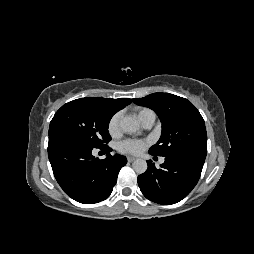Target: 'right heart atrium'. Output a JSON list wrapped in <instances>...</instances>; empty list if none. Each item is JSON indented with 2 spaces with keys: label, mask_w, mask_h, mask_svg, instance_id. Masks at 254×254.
<instances>
[{
  "label": "right heart atrium",
  "mask_w": 254,
  "mask_h": 254,
  "mask_svg": "<svg viewBox=\"0 0 254 254\" xmlns=\"http://www.w3.org/2000/svg\"><path fill=\"white\" fill-rule=\"evenodd\" d=\"M119 123H120V113L114 114L107 125V130L109 134L113 137L119 134Z\"/></svg>",
  "instance_id": "d8ad5b80"
}]
</instances>
